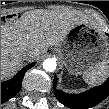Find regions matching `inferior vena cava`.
<instances>
[{"mask_svg": "<svg viewBox=\"0 0 109 109\" xmlns=\"http://www.w3.org/2000/svg\"><path fill=\"white\" fill-rule=\"evenodd\" d=\"M22 57L24 60H31L33 59V53L31 51L23 52Z\"/></svg>", "mask_w": 109, "mask_h": 109, "instance_id": "1", "label": "inferior vena cava"}]
</instances>
